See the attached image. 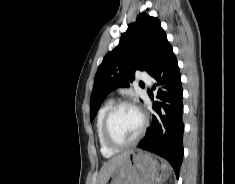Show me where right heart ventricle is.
<instances>
[{
  "label": "right heart ventricle",
  "mask_w": 235,
  "mask_h": 184,
  "mask_svg": "<svg viewBox=\"0 0 235 184\" xmlns=\"http://www.w3.org/2000/svg\"><path fill=\"white\" fill-rule=\"evenodd\" d=\"M113 105V101L109 100L105 102L99 109L98 114H97V119H96V124H95V134H96V139L99 144V147L101 149L102 154L110 158L114 156L117 151L110 149L104 142L103 139V122L104 118L106 116V113L108 109Z\"/></svg>",
  "instance_id": "obj_1"
}]
</instances>
